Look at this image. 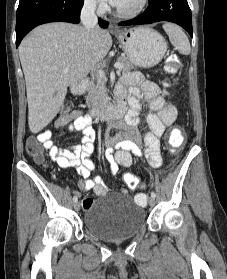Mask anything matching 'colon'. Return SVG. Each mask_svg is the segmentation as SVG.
<instances>
[{
    "mask_svg": "<svg viewBox=\"0 0 227 279\" xmlns=\"http://www.w3.org/2000/svg\"><path fill=\"white\" fill-rule=\"evenodd\" d=\"M169 85L170 82H167ZM68 109V106L66 107ZM185 135L181 129L175 128L169 134L168 145L172 153H175L178 148L183 145ZM27 153L34 159L36 163L44 162V155L42 153L41 147L36 141H29L26 146ZM124 182L130 189H136L141 186V178L132 173H126L124 175ZM147 201V195L143 192L137 194L135 202L137 204H143Z\"/></svg>",
    "mask_w": 227,
    "mask_h": 279,
    "instance_id": "colon-1",
    "label": "colon"
}]
</instances>
